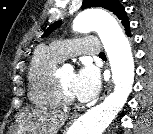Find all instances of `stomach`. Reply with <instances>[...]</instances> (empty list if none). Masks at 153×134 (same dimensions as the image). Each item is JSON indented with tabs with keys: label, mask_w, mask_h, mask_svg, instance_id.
I'll return each instance as SVG.
<instances>
[{
	"label": "stomach",
	"mask_w": 153,
	"mask_h": 134,
	"mask_svg": "<svg viewBox=\"0 0 153 134\" xmlns=\"http://www.w3.org/2000/svg\"><path fill=\"white\" fill-rule=\"evenodd\" d=\"M17 134H30L29 132H17Z\"/></svg>",
	"instance_id": "1"
}]
</instances>
